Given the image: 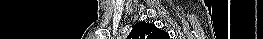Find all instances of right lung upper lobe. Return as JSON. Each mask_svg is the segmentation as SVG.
I'll list each match as a JSON object with an SVG mask.
<instances>
[{"label":"right lung upper lobe","mask_w":263,"mask_h":39,"mask_svg":"<svg viewBox=\"0 0 263 39\" xmlns=\"http://www.w3.org/2000/svg\"><path fill=\"white\" fill-rule=\"evenodd\" d=\"M168 34L154 24L137 23L132 27L129 38L132 39H166Z\"/></svg>","instance_id":"obj_1"}]
</instances>
